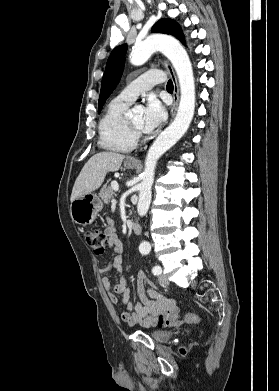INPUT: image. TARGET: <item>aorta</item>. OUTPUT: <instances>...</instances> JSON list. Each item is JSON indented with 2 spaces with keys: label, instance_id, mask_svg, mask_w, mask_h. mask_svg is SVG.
Instances as JSON below:
<instances>
[{
  "label": "aorta",
  "instance_id": "obj_1",
  "mask_svg": "<svg viewBox=\"0 0 279 391\" xmlns=\"http://www.w3.org/2000/svg\"><path fill=\"white\" fill-rule=\"evenodd\" d=\"M157 50L161 51L171 61L179 79L181 96L174 121L159 134L147 152L142 181L139 185L137 212L140 216L146 215L151 203V190L157 161L186 133L195 110L193 69L189 56L179 41L165 35L149 36L133 46L130 53V62L136 66L142 65ZM135 109H138V107ZM139 249L150 251L151 246L144 241L140 244Z\"/></svg>",
  "mask_w": 279,
  "mask_h": 391
}]
</instances>
